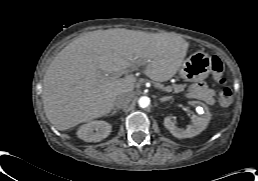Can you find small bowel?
Masks as SVG:
<instances>
[{"mask_svg": "<svg viewBox=\"0 0 258 181\" xmlns=\"http://www.w3.org/2000/svg\"><path fill=\"white\" fill-rule=\"evenodd\" d=\"M188 96L203 100L209 105L215 103L214 91L204 82L191 85L188 89Z\"/></svg>", "mask_w": 258, "mask_h": 181, "instance_id": "small-bowel-1", "label": "small bowel"}]
</instances>
